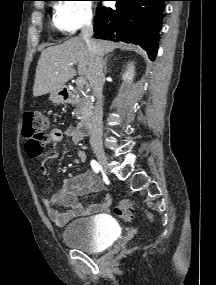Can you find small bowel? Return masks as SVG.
<instances>
[{"label":"small bowel","mask_w":216,"mask_h":285,"mask_svg":"<svg viewBox=\"0 0 216 285\" xmlns=\"http://www.w3.org/2000/svg\"><path fill=\"white\" fill-rule=\"evenodd\" d=\"M64 137L69 138L74 144L79 145L84 135L78 128L69 127L66 130L54 128L48 135V142L51 144L60 142ZM86 160V152L78 149L76 154V163H82ZM44 173L48 171L46 163L40 166ZM102 186L99 180L90 171L76 175L71 178H65L60 191L52 197H43L42 202L47 210L49 218L59 227L66 225L70 220L78 216H87L97 212L105 211L111 204V197L105 195L100 203L84 206L80 197L86 191L99 192ZM65 208V210H61Z\"/></svg>","instance_id":"c3829d8e"}]
</instances>
